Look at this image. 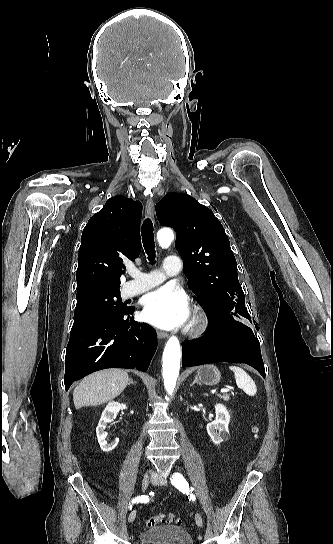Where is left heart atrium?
Masks as SVG:
<instances>
[{
    "label": "left heart atrium",
    "mask_w": 333,
    "mask_h": 544,
    "mask_svg": "<svg viewBox=\"0 0 333 544\" xmlns=\"http://www.w3.org/2000/svg\"><path fill=\"white\" fill-rule=\"evenodd\" d=\"M142 315L147 322L163 329L183 325L190 315L188 298L180 290L159 288L144 297Z\"/></svg>",
    "instance_id": "39dd6f15"
}]
</instances>
